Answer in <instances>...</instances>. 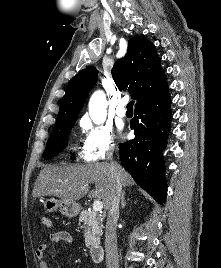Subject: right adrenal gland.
Masks as SVG:
<instances>
[{
	"instance_id": "2a0ac1e0",
	"label": "right adrenal gland",
	"mask_w": 221,
	"mask_h": 268,
	"mask_svg": "<svg viewBox=\"0 0 221 268\" xmlns=\"http://www.w3.org/2000/svg\"><path fill=\"white\" fill-rule=\"evenodd\" d=\"M127 202L125 200V191L122 192V195H121V207L122 208H125Z\"/></svg>"
}]
</instances>
